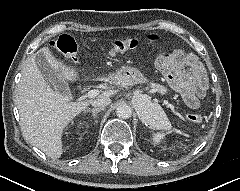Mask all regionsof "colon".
<instances>
[{
  "mask_svg": "<svg viewBox=\"0 0 240 191\" xmlns=\"http://www.w3.org/2000/svg\"><path fill=\"white\" fill-rule=\"evenodd\" d=\"M148 39L150 41H155L158 39V35L151 34L148 36ZM138 44L139 41L136 38L128 37L116 39L110 45V52L115 54L129 51L136 48ZM49 45L55 50L59 51L66 59L76 61L77 45L75 40L71 36L63 34L59 36L56 40L50 42ZM167 57L168 53H164L158 62V67L162 70L166 68ZM187 119L191 123L199 124L202 122L203 117L201 114L191 113L187 115Z\"/></svg>",
  "mask_w": 240,
  "mask_h": 191,
  "instance_id": "1",
  "label": "colon"
}]
</instances>
